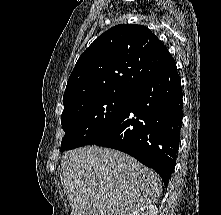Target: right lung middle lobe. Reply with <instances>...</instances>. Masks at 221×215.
<instances>
[{
    "label": "right lung middle lobe",
    "mask_w": 221,
    "mask_h": 215,
    "mask_svg": "<svg viewBox=\"0 0 221 215\" xmlns=\"http://www.w3.org/2000/svg\"><path fill=\"white\" fill-rule=\"evenodd\" d=\"M129 95L105 94L66 106L61 116L65 136L61 151L89 145L107 132L122 114Z\"/></svg>",
    "instance_id": "1"
}]
</instances>
